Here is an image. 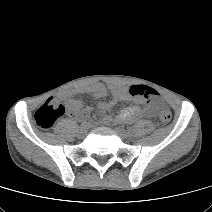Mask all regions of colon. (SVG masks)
<instances>
[{"label": "colon", "mask_w": 212, "mask_h": 212, "mask_svg": "<svg viewBox=\"0 0 212 212\" xmlns=\"http://www.w3.org/2000/svg\"><path fill=\"white\" fill-rule=\"evenodd\" d=\"M129 93L132 96H140L145 98L153 107H159L161 105L160 95L153 88L147 86H131ZM65 107L62 103L55 98H49L43 105H41L35 112L34 120L38 127L41 129L51 128L55 122L63 116ZM172 119V115L169 110H162L161 120L164 123H169Z\"/></svg>", "instance_id": "5ec220e1"}]
</instances>
